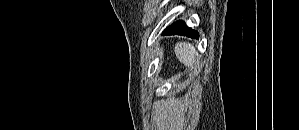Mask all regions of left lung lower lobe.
Masks as SVG:
<instances>
[{
	"instance_id": "left-lung-lower-lobe-1",
	"label": "left lung lower lobe",
	"mask_w": 299,
	"mask_h": 130,
	"mask_svg": "<svg viewBox=\"0 0 299 130\" xmlns=\"http://www.w3.org/2000/svg\"><path fill=\"white\" fill-rule=\"evenodd\" d=\"M182 35L190 38H198L199 34L197 31L190 29L183 21H177L163 32V35Z\"/></svg>"
}]
</instances>
